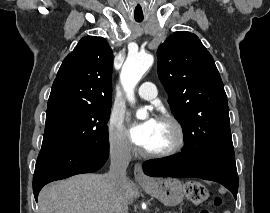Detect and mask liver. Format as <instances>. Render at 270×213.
I'll list each match as a JSON object with an SVG mask.
<instances>
[{
  "instance_id": "6515ba94",
  "label": "liver",
  "mask_w": 270,
  "mask_h": 213,
  "mask_svg": "<svg viewBox=\"0 0 270 213\" xmlns=\"http://www.w3.org/2000/svg\"><path fill=\"white\" fill-rule=\"evenodd\" d=\"M134 184L126 180L117 193L106 174H82L45 186L38 198L40 213H117L133 201Z\"/></svg>"
}]
</instances>
